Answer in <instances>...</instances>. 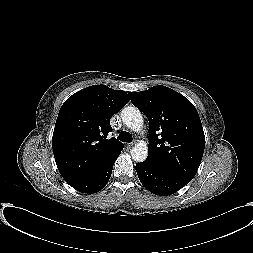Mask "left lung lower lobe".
Listing matches in <instances>:
<instances>
[{"instance_id": "left-lung-lower-lobe-1", "label": "left lung lower lobe", "mask_w": 253, "mask_h": 253, "mask_svg": "<svg viewBox=\"0 0 253 253\" xmlns=\"http://www.w3.org/2000/svg\"><path fill=\"white\" fill-rule=\"evenodd\" d=\"M136 172L141 183L156 195H170L183 188L190 181L176 176L145 160L136 164Z\"/></svg>"}]
</instances>
